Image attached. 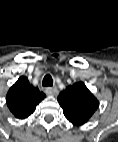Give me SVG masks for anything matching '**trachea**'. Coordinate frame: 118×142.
Returning a JSON list of instances; mask_svg holds the SVG:
<instances>
[{
  "label": "trachea",
  "instance_id": "trachea-1",
  "mask_svg": "<svg viewBox=\"0 0 118 142\" xmlns=\"http://www.w3.org/2000/svg\"><path fill=\"white\" fill-rule=\"evenodd\" d=\"M42 85L44 87H47V86H52L53 85V79L51 77V75H46L44 78H43V82H42Z\"/></svg>",
  "mask_w": 118,
  "mask_h": 142
}]
</instances>
